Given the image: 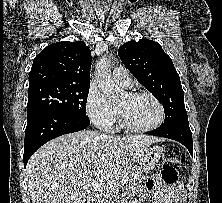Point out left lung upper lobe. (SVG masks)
<instances>
[{
  "mask_svg": "<svg viewBox=\"0 0 222 203\" xmlns=\"http://www.w3.org/2000/svg\"><path fill=\"white\" fill-rule=\"evenodd\" d=\"M118 55L134 77L162 103L163 125L188 123L180 77L159 43L132 40L119 48Z\"/></svg>",
  "mask_w": 222,
  "mask_h": 203,
  "instance_id": "left-lung-upper-lobe-1",
  "label": "left lung upper lobe"
}]
</instances>
